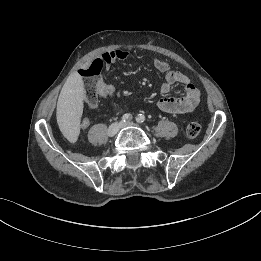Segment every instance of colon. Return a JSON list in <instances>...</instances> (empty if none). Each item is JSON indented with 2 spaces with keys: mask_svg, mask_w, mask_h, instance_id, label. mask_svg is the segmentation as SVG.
Instances as JSON below:
<instances>
[{
  "mask_svg": "<svg viewBox=\"0 0 261 261\" xmlns=\"http://www.w3.org/2000/svg\"><path fill=\"white\" fill-rule=\"evenodd\" d=\"M103 68V62L96 59L86 70H83L85 77V104L89 109L96 107L100 97V72ZM201 126L197 122H190L186 127V134L190 138H195L199 135Z\"/></svg>",
  "mask_w": 261,
  "mask_h": 261,
  "instance_id": "colon-1",
  "label": "colon"
}]
</instances>
